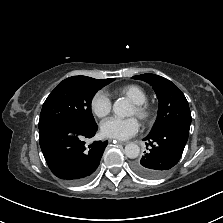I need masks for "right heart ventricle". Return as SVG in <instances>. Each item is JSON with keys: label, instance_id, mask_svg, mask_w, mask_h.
<instances>
[{"label": "right heart ventricle", "instance_id": "obj_1", "mask_svg": "<svg viewBox=\"0 0 223 223\" xmlns=\"http://www.w3.org/2000/svg\"><path fill=\"white\" fill-rule=\"evenodd\" d=\"M115 94L125 96L133 103H141L147 100V92L137 84H126L113 90Z\"/></svg>", "mask_w": 223, "mask_h": 223}]
</instances>
